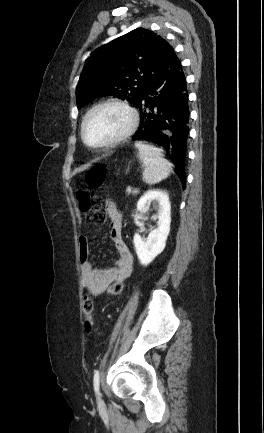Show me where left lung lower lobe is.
<instances>
[{"label": "left lung lower lobe", "mask_w": 264, "mask_h": 433, "mask_svg": "<svg viewBox=\"0 0 264 433\" xmlns=\"http://www.w3.org/2000/svg\"><path fill=\"white\" fill-rule=\"evenodd\" d=\"M136 106L141 126L132 137L163 147L185 186V157L189 133L186 78L180 60L172 51L163 66L139 97Z\"/></svg>", "instance_id": "left-lung-lower-lobe-1"}]
</instances>
